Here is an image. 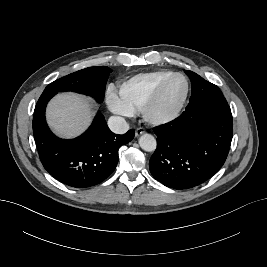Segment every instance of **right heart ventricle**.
Returning a JSON list of instances; mask_svg holds the SVG:
<instances>
[{
	"mask_svg": "<svg viewBox=\"0 0 267 267\" xmlns=\"http://www.w3.org/2000/svg\"><path fill=\"white\" fill-rule=\"evenodd\" d=\"M171 74L160 70L134 75L120 84L119 97L133 112L142 110L159 83Z\"/></svg>",
	"mask_w": 267,
	"mask_h": 267,
	"instance_id": "e07e8e85",
	"label": "right heart ventricle"
}]
</instances>
